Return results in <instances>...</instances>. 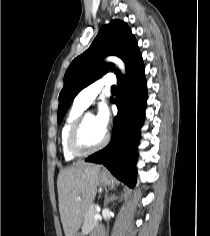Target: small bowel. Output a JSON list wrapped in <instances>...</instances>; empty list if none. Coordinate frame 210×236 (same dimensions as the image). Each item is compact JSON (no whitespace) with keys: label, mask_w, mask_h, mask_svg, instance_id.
I'll use <instances>...</instances> for the list:
<instances>
[{"label":"small bowel","mask_w":210,"mask_h":236,"mask_svg":"<svg viewBox=\"0 0 210 236\" xmlns=\"http://www.w3.org/2000/svg\"><path fill=\"white\" fill-rule=\"evenodd\" d=\"M92 236H103L101 229H97Z\"/></svg>","instance_id":"obj_1"}]
</instances>
